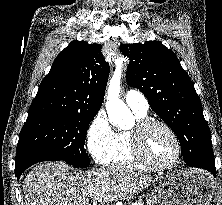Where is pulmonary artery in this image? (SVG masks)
Wrapping results in <instances>:
<instances>
[{"mask_svg":"<svg viewBox=\"0 0 222 205\" xmlns=\"http://www.w3.org/2000/svg\"><path fill=\"white\" fill-rule=\"evenodd\" d=\"M125 102L135 111L147 113L149 104L145 96L137 90H129L125 94Z\"/></svg>","mask_w":222,"mask_h":205,"instance_id":"obj_1","label":"pulmonary artery"}]
</instances>
